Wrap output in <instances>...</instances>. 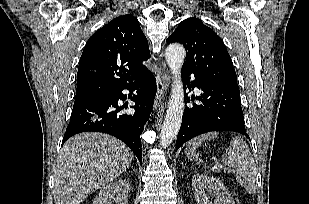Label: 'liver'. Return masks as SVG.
<instances>
[{
  "instance_id": "6515ba94",
  "label": "liver",
  "mask_w": 309,
  "mask_h": 204,
  "mask_svg": "<svg viewBox=\"0 0 309 204\" xmlns=\"http://www.w3.org/2000/svg\"><path fill=\"white\" fill-rule=\"evenodd\" d=\"M133 156L122 141L107 134L88 132L70 138L55 163V204H80L120 176Z\"/></svg>"
}]
</instances>
